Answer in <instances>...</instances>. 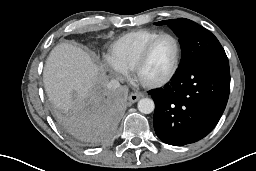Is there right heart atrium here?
I'll list each match as a JSON object with an SVG mask.
<instances>
[{
    "instance_id": "d8ad5b80",
    "label": "right heart atrium",
    "mask_w": 256,
    "mask_h": 171,
    "mask_svg": "<svg viewBox=\"0 0 256 171\" xmlns=\"http://www.w3.org/2000/svg\"><path fill=\"white\" fill-rule=\"evenodd\" d=\"M107 63H108V65L110 66V68H111L114 72H116V73L122 72V69L119 68L117 65H115L111 60H107Z\"/></svg>"
}]
</instances>
